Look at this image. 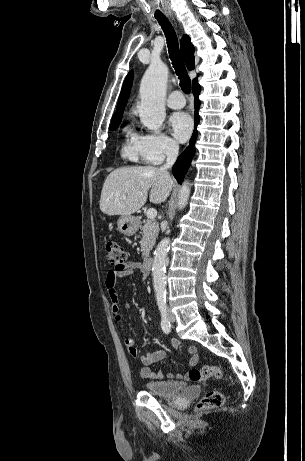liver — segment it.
<instances>
[{
	"label": "liver",
	"instance_id": "6515ba94",
	"mask_svg": "<svg viewBox=\"0 0 305 461\" xmlns=\"http://www.w3.org/2000/svg\"><path fill=\"white\" fill-rule=\"evenodd\" d=\"M173 186L170 175L153 166L118 168L103 184L100 210L110 216H129L146 203L149 190L150 201L160 204L166 201Z\"/></svg>",
	"mask_w": 305,
	"mask_h": 461
}]
</instances>
